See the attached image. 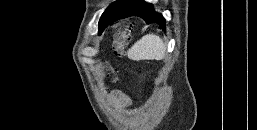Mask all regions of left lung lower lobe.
Masks as SVG:
<instances>
[{"label":"left lung lower lobe","instance_id":"left-lung-lower-lobe-1","mask_svg":"<svg viewBox=\"0 0 257 130\" xmlns=\"http://www.w3.org/2000/svg\"><path fill=\"white\" fill-rule=\"evenodd\" d=\"M134 15L143 18L148 24L153 22L158 23L162 29L165 27L166 21L164 17L154 10L152 4L143 0H130L122 7L116 8L106 19V25L112 20ZM105 27L99 29V33H102Z\"/></svg>","mask_w":257,"mask_h":130}]
</instances>
